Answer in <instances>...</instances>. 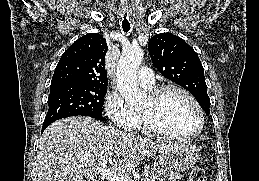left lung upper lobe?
<instances>
[{"label":"left lung upper lobe","instance_id":"1","mask_svg":"<svg viewBox=\"0 0 259 181\" xmlns=\"http://www.w3.org/2000/svg\"><path fill=\"white\" fill-rule=\"evenodd\" d=\"M148 47L151 60L159 72L187 89L209 115L210 99L204 68L193 48L180 37L170 33L153 36Z\"/></svg>","mask_w":259,"mask_h":181}]
</instances>
